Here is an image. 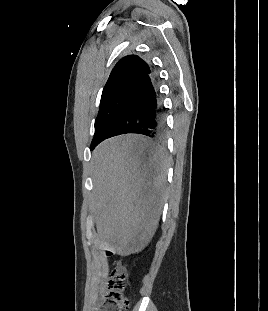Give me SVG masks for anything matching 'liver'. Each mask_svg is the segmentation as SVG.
<instances>
[{"label": "liver", "mask_w": 268, "mask_h": 311, "mask_svg": "<svg viewBox=\"0 0 268 311\" xmlns=\"http://www.w3.org/2000/svg\"><path fill=\"white\" fill-rule=\"evenodd\" d=\"M96 224L95 244L121 256L138 253L159 222L167 178V158L140 135L105 140L91 159Z\"/></svg>", "instance_id": "6515ba94"}]
</instances>
